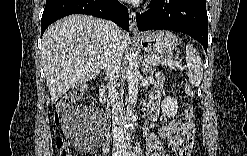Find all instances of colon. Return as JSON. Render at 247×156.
I'll return each mask as SVG.
<instances>
[{"mask_svg":"<svg viewBox=\"0 0 247 156\" xmlns=\"http://www.w3.org/2000/svg\"><path fill=\"white\" fill-rule=\"evenodd\" d=\"M85 91H86V87L75 89L72 92L63 96V98L57 104L55 111H54L53 118H54L55 124L59 128H62L65 126V124H67L68 118H67L66 112L68 108L73 103L78 101ZM187 93L191 99V102L185 111V123L189 124L192 122V118L194 116V106H193L194 92L192 91L191 88H187ZM56 150L59 156H69L70 155L69 143L62 134H60L56 138Z\"/></svg>","mask_w":247,"mask_h":156,"instance_id":"1","label":"colon"}]
</instances>
